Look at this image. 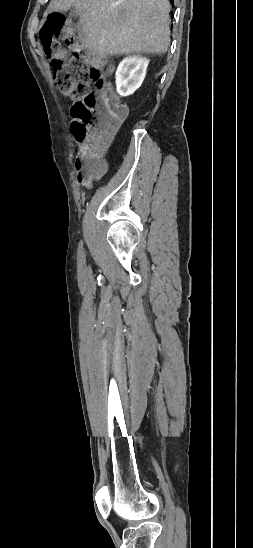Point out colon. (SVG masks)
<instances>
[{"label": "colon", "mask_w": 253, "mask_h": 548, "mask_svg": "<svg viewBox=\"0 0 253 548\" xmlns=\"http://www.w3.org/2000/svg\"><path fill=\"white\" fill-rule=\"evenodd\" d=\"M64 22L61 13L49 14L41 38L44 53L54 70L56 88L74 100L72 131L81 143L76 169L79 180L84 182L104 171L102 153L127 110L105 83L104 74L109 65L83 54L67 37L61 39L65 36Z\"/></svg>", "instance_id": "colon-1"}]
</instances>
